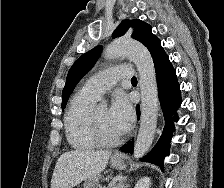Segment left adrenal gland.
Returning <instances> with one entry per match:
<instances>
[{"mask_svg": "<svg viewBox=\"0 0 224 188\" xmlns=\"http://www.w3.org/2000/svg\"><path fill=\"white\" fill-rule=\"evenodd\" d=\"M127 177H124L118 184L117 188H128L130 185L129 184H125Z\"/></svg>", "mask_w": 224, "mask_h": 188, "instance_id": "a2214340", "label": "left adrenal gland"}]
</instances>
